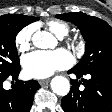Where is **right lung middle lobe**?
I'll return each mask as SVG.
<instances>
[{
	"label": "right lung middle lobe",
	"instance_id": "right-lung-middle-lobe-1",
	"mask_svg": "<svg viewBox=\"0 0 112 112\" xmlns=\"http://www.w3.org/2000/svg\"><path fill=\"white\" fill-rule=\"evenodd\" d=\"M38 19V17L18 14L0 16V77L19 65L15 45L17 33Z\"/></svg>",
	"mask_w": 112,
	"mask_h": 112
}]
</instances>
